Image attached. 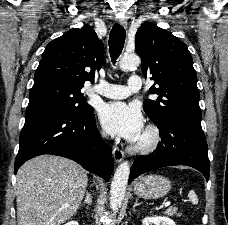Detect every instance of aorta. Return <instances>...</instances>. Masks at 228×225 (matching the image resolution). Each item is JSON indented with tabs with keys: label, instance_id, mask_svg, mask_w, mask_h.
<instances>
[{
	"label": "aorta",
	"instance_id": "1",
	"mask_svg": "<svg viewBox=\"0 0 228 225\" xmlns=\"http://www.w3.org/2000/svg\"><path fill=\"white\" fill-rule=\"evenodd\" d=\"M140 62L141 60L138 54H134V52L128 54V52H126V54H123L122 58H120L119 66L121 70H132V68H137ZM129 175V163L125 161V163H121V165L117 167L112 179L109 199V205L112 211H118L124 201Z\"/></svg>",
	"mask_w": 228,
	"mask_h": 225
}]
</instances>
